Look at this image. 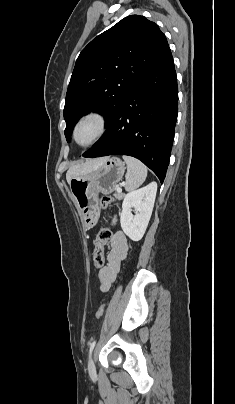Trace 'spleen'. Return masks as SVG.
Here are the masks:
<instances>
[{
  "mask_svg": "<svg viewBox=\"0 0 235 404\" xmlns=\"http://www.w3.org/2000/svg\"><path fill=\"white\" fill-rule=\"evenodd\" d=\"M127 164V173L125 175L126 191H132L143 184L147 177L146 166L138 159L131 156H123Z\"/></svg>",
  "mask_w": 235,
  "mask_h": 404,
  "instance_id": "spleen-1",
  "label": "spleen"
}]
</instances>
